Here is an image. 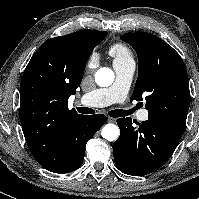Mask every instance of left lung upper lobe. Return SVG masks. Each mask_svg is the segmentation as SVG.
<instances>
[{
  "instance_id": "1",
  "label": "left lung upper lobe",
  "mask_w": 199,
  "mask_h": 199,
  "mask_svg": "<svg viewBox=\"0 0 199 199\" xmlns=\"http://www.w3.org/2000/svg\"><path fill=\"white\" fill-rule=\"evenodd\" d=\"M121 39L136 51L138 78L130 100L145 96L150 117L185 127L190 106L189 79L180 55L159 37L147 33H125Z\"/></svg>"
}]
</instances>
